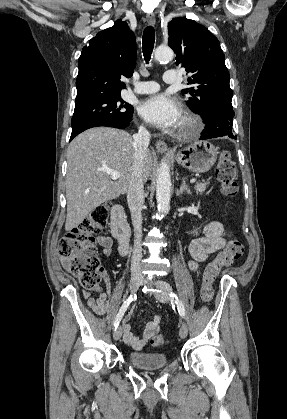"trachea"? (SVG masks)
Returning <instances> with one entry per match:
<instances>
[{
    "instance_id": "1",
    "label": "trachea",
    "mask_w": 287,
    "mask_h": 419,
    "mask_svg": "<svg viewBox=\"0 0 287 419\" xmlns=\"http://www.w3.org/2000/svg\"><path fill=\"white\" fill-rule=\"evenodd\" d=\"M155 43V31L152 26L145 28L142 38L143 55L146 62H149Z\"/></svg>"
}]
</instances>
